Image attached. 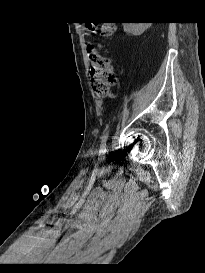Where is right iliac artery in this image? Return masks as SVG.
Here are the masks:
<instances>
[{
  "instance_id": "82829eb1",
  "label": "right iliac artery",
  "mask_w": 205,
  "mask_h": 273,
  "mask_svg": "<svg viewBox=\"0 0 205 273\" xmlns=\"http://www.w3.org/2000/svg\"><path fill=\"white\" fill-rule=\"evenodd\" d=\"M108 133H109V131L107 130L105 133H104V135L102 136V138H101V149H100V151L102 152V153H104V152H106V141H107V138H108Z\"/></svg>"
}]
</instances>
